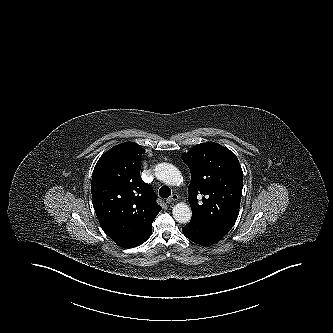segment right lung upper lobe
<instances>
[{
    "label": "right lung upper lobe",
    "mask_w": 333,
    "mask_h": 333,
    "mask_svg": "<svg viewBox=\"0 0 333 333\" xmlns=\"http://www.w3.org/2000/svg\"><path fill=\"white\" fill-rule=\"evenodd\" d=\"M144 149L119 144L104 153L92 174V201L103 231L123 248L143 244L161 210L149 184L140 177Z\"/></svg>",
    "instance_id": "cb5924a9"
}]
</instances>
